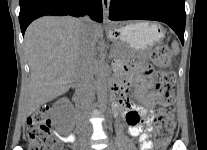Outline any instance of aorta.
Listing matches in <instances>:
<instances>
[{
  "label": "aorta",
  "mask_w": 207,
  "mask_h": 150,
  "mask_svg": "<svg viewBox=\"0 0 207 150\" xmlns=\"http://www.w3.org/2000/svg\"><path fill=\"white\" fill-rule=\"evenodd\" d=\"M107 69L100 65L97 70V79L95 82L96 94L98 102L101 107H106L108 97V86H107Z\"/></svg>",
  "instance_id": "1"
}]
</instances>
